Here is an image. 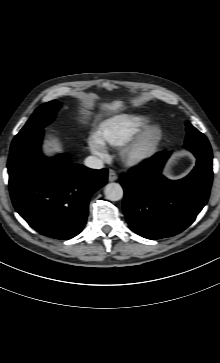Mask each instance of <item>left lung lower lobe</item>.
Here are the masks:
<instances>
[{
    "label": "left lung lower lobe",
    "instance_id": "left-lung-lower-lobe-1",
    "mask_svg": "<svg viewBox=\"0 0 220 363\" xmlns=\"http://www.w3.org/2000/svg\"><path fill=\"white\" fill-rule=\"evenodd\" d=\"M197 158L183 179H166L161 170L170 152L157 153L139 169L121 174L123 210L130 228L147 239H160L186 229L205 206L212 183L210 144H185Z\"/></svg>",
    "mask_w": 220,
    "mask_h": 363
}]
</instances>
